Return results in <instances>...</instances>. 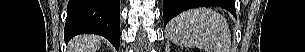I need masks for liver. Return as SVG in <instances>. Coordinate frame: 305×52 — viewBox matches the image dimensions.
<instances>
[{
	"label": "liver",
	"instance_id": "6515ba94",
	"mask_svg": "<svg viewBox=\"0 0 305 52\" xmlns=\"http://www.w3.org/2000/svg\"><path fill=\"white\" fill-rule=\"evenodd\" d=\"M101 45V38L97 35H82L76 37L71 49L73 52H96Z\"/></svg>",
	"mask_w": 305,
	"mask_h": 52
}]
</instances>
